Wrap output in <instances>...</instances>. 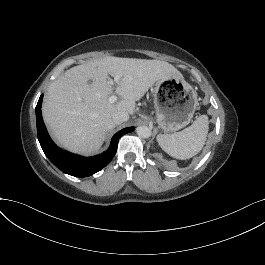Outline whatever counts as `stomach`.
I'll use <instances>...</instances> for the list:
<instances>
[{
  "mask_svg": "<svg viewBox=\"0 0 265 265\" xmlns=\"http://www.w3.org/2000/svg\"><path fill=\"white\" fill-rule=\"evenodd\" d=\"M197 105V93L183 77L173 75L156 82V121L164 132H175L187 126Z\"/></svg>",
  "mask_w": 265,
  "mask_h": 265,
  "instance_id": "1",
  "label": "stomach"
}]
</instances>
